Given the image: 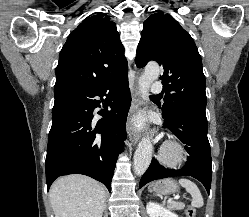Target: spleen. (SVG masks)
Returning a JSON list of instances; mask_svg holds the SVG:
<instances>
[{"mask_svg":"<svg viewBox=\"0 0 249 217\" xmlns=\"http://www.w3.org/2000/svg\"><path fill=\"white\" fill-rule=\"evenodd\" d=\"M179 183L181 186H183L186 189L188 193L191 194L192 196L191 205L196 208L202 207L204 204V201H203V197L197 185L191 180H188L185 178H181L179 180Z\"/></svg>","mask_w":249,"mask_h":217,"instance_id":"spleen-1","label":"spleen"}]
</instances>
